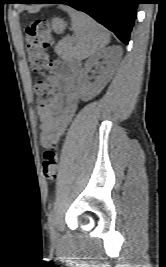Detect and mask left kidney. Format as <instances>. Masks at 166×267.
<instances>
[{
	"instance_id": "obj_1",
	"label": "left kidney",
	"mask_w": 166,
	"mask_h": 267,
	"mask_svg": "<svg viewBox=\"0 0 166 267\" xmlns=\"http://www.w3.org/2000/svg\"><path fill=\"white\" fill-rule=\"evenodd\" d=\"M108 51L98 52L93 55L85 64V69L81 71L78 77V90L80 97L83 101H89L96 97L107 85L111 77V69L109 66H103L102 63L99 62V59H107ZM96 66L100 70V75L96 78L93 83H87V70Z\"/></svg>"
}]
</instances>
